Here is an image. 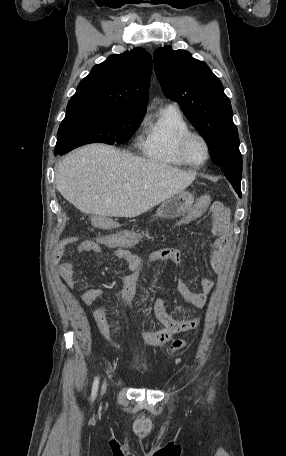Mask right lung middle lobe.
<instances>
[{"mask_svg": "<svg viewBox=\"0 0 286 456\" xmlns=\"http://www.w3.org/2000/svg\"><path fill=\"white\" fill-rule=\"evenodd\" d=\"M146 111L88 101L68 103L55 150L63 155L93 142L126 143L138 129Z\"/></svg>", "mask_w": 286, "mask_h": 456, "instance_id": "obj_1", "label": "right lung middle lobe"}]
</instances>
